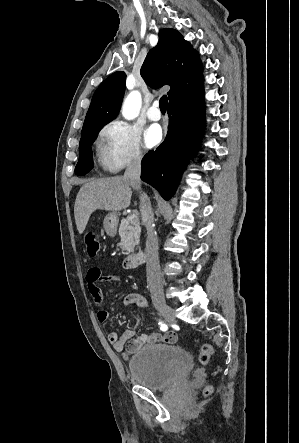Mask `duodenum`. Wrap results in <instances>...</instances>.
I'll use <instances>...</instances> for the list:
<instances>
[{
	"label": "duodenum",
	"instance_id": "410a0bca",
	"mask_svg": "<svg viewBox=\"0 0 299 443\" xmlns=\"http://www.w3.org/2000/svg\"><path fill=\"white\" fill-rule=\"evenodd\" d=\"M144 260V254L142 251H138L133 254L127 255L122 260V267L124 269H132L137 267Z\"/></svg>",
	"mask_w": 299,
	"mask_h": 443
}]
</instances>
